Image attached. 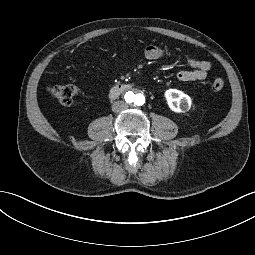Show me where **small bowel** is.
<instances>
[{
    "label": "small bowel",
    "instance_id": "obj_1",
    "mask_svg": "<svg viewBox=\"0 0 255 255\" xmlns=\"http://www.w3.org/2000/svg\"><path fill=\"white\" fill-rule=\"evenodd\" d=\"M144 56L148 60L173 57L171 52L158 45H148L144 50ZM187 64L189 69L182 70L177 74L178 79L184 82L204 80L211 69V63L206 60L190 58L187 60Z\"/></svg>",
    "mask_w": 255,
    "mask_h": 255
}]
</instances>
